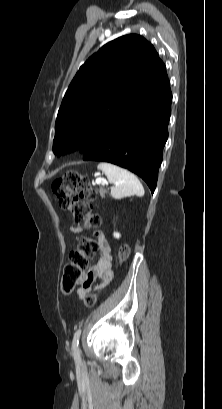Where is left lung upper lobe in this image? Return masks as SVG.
I'll use <instances>...</instances> for the list:
<instances>
[{
	"label": "left lung upper lobe",
	"instance_id": "5c2ea615",
	"mask_svg": "<svg viewBox=\"0 0 222 409\" xmlns=\"http://www.w3.org/2000/svg\"><path fill=\"white\" fill-rule=\"evenodd\" d=\"M164 63L143 37L130 34L105 44L79 69L55 123L53 152H85L121 108L167 79Z\"/></svg>",
	"mask_w": 222,
	"mask_h": 409
}]
</instances>
